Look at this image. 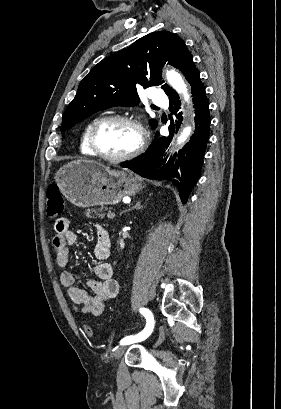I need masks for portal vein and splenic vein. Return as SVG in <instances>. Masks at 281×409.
I'll return each instance as SVG.
<instances>
[{"label":"portal vein and splenic vein","mask_w":281,"mask_h":409,"mask_svg":"<svg viewBox=\"0 0 281 409\" xmlns=\"http://www.w3.org/2000/svg\"><path fill=\"white\" fill-rule=\"evenodd\" d=\"M108 219H114L115 215L113 212H109L107 215Z\"/></svg>","instance_id":"portal-vein-and-splenic-vein-1"}]
</instances>
